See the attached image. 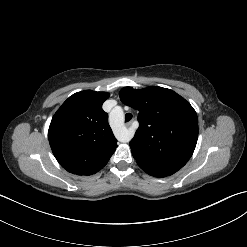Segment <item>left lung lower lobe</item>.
Segmentation results:
<instances>
[{"mask_svg": "<svg viewBox=\"0 0 247 247\" xmlns=\"http://www.w3.org/2000/svg\"><path fill=\"white\" fill-rule=\"evenodd\" d=\"M139 166H140V165H139ZM140 167H141L146 173H148V174L151 175V176H154V177H165V176L159 175V174H157V173L151 172V171L145 169V168L142 167V166H140Z\"/></svg>", "mask_w": 247, "mask_h": 247, "instance_id": "obj_1", "label": "left lung lower lobe"}]
</instances>
